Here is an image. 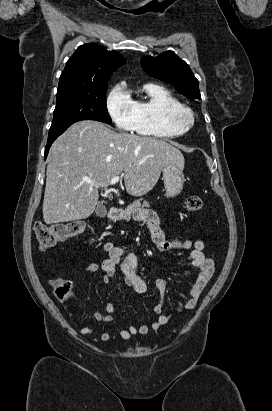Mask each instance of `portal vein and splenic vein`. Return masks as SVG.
<instances>
[{"instance_id": "obj_1", "label": "portal vein and splenic vein", "mask_w": 272, "mask_h": 411, "mask_svg": "<svg viewBox=\"0 0 272 411\" xmlns=\"http://www.w3.org/2000/svg\"><path fill=\"white\" fill-rule=\"evenodd\" d=\"M119 180H120V176H115L114 178L111 179L110 185L116 184L117 182H119ZM90 183H91V185H94L93 182H90Z\"/></svg>"}]
</instances>
